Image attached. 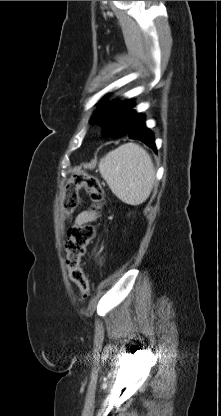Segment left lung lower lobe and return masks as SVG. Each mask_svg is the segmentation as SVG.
<instances>
[{
    "label": "left lung lower lobe",
    "mask_w": 221,
    "mask_h": 416,
    "mask_svg": "<svg viewBox=\"0 0 221 416\" xmlns=\"http://www.w3.org/2000/svg\"><path fill=\"white\" fill-rule=\"evenodd\" d=\"M126 136L144 142L156 152L154 134L145 126L143 115L135 113Z\"/></svg>",
    "instance_id": "0a47b994"
}]
</instances>
